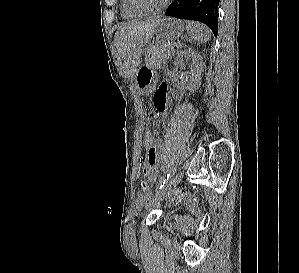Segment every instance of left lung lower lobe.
Wrapping results in <instances>:
<instances>
[{
  "label": "left lung lower lobe",
  "mask_w": 299,
  "mask_h": 273,
  "mask_svg": "<svg viewBox=\"0 0 299 273\" xmlns=\"http://www.w3.org/2000/svg\"><path fill=\"white\" fill-rule=\"evenodd\" d=\"M218 4L219 0H175L165 15L200 21L206 24L217 36Z\"/></svg>",
  "instance_id": "obj_1"
}]
</instances>
